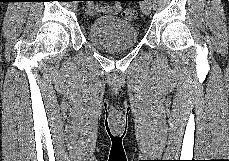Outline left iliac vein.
Returning <instances> with one entry per match:
<instances>
[{
    "label": "left iliac vein",
    "mask_w": 229,
    "mask_h": 161,
    "mask_svg": "<svg viewBox=\"0 0 229 161\" xmlns=\"http://www.w3.org/2000/svg\"><path fill=\"white\" fill-rule=\"evenodd\" d=\"M141 10L145 15H149L151 12V1L150 0H144L141 3Z\"/></svg>",
    "instance_id": "left-iliac-vein-1"
}]
</instances>
